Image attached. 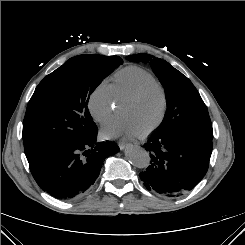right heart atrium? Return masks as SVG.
Wrapping results in <instances>:
<instances>
[{"label": "right heart atrium", "mask_w": 245, "mask_h": 245, "mask_svg": "<svg viewBox=\"0 0 245 245\" xmlns=\"http://www.w3.org/2000/svg\"><path fill=\"white\" fill-rule=\"evenodd\" d=\"M88 109L93 119L100 124L112 119L116 109V99L112 85L106 80L99 82L91 92Z\"/></svg>", "instance_id": "right-heart-atrium-1"}]
</instances>
